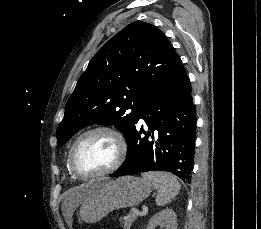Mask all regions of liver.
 I'll use <instances>...</instances> for the list:
<instances>
[{
  "instance_id": "obj_1",
  "label": "liver",
  "mask_w": 261,
  "mask_h": 229,
  "mask_svg": "<svg viewBox=\"0 0 261 229\" xmlns=\"http://www.w3.org/2000/svg\"><path fill=\"white\" fill-rule=\"evenodd\" d=\"M92 191L85 187V185H80L77 189H74V195L71 197V205L74 207V203L77 205H81L85 199H88L89 195H91Z\"/></svg>"
}]
</instances>
